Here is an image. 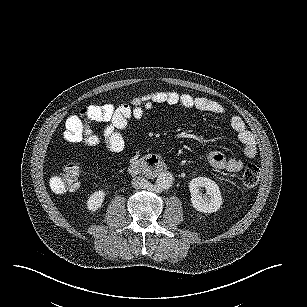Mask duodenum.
Returning <instances> with one entry per match:
<instances>
[{"instance_id": "410a0bca", "label": "duodenum", "mask_w": 307, "mask_h": 307, "mask_svg": "<svg viewBox=\"0 0 307 307\" xmlns=\"http://www.w3.org/2000/svg\"><path fill=\"white\" fill-rule=\"evenodd\" d=\"M165 168L166 164L161 158L150 155L132 161L128 167V171L134 176L154 178L163 172Z\"/></svg>"}]
</instances>
